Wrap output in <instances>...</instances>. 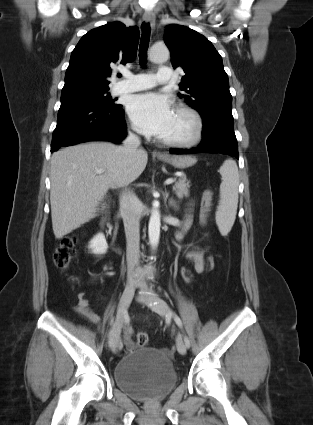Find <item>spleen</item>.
<instances>
[{
  "mask_svg": "<svg viewBox=\"0 0 313 425\" xmlns=\"http://www.w3.org/2000/svg\"><path fill=\"white\" fill-rule=\"evenodd\" d=\"M219 172L222 176V183L219 206L216 211V223L220 233L226 236L230 232L237 214L239 172L236 162L232 159L225 160Z\"/></svg>",
  "mask_w": 313,
  "mask_h": 425,
  "instance_id": "spleen-1",
  "label": "spleen"
}]
</instances>
